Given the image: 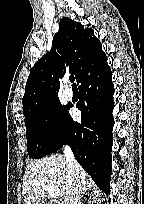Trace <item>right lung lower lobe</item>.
<instances>
[{
	"mask_svg": "<svg viewBox=\"0 0 144 204\" xmlns=\"http://www.w3.org/2000/svg\"><path fill=\"white\" fill-rule=\"evenodd\" d=\"M81 123L68 114L58 141L49 154L68 144L80 165L95 183L110 192L111 150L114 108L112 72L107 59L79 82Z\"/></svg>",
	"mask_w": 144,
	"mask_h": 204,
	"instance_id": "right-lung-lower-lobe-1",
	"label": "right lung lower lobe"
}]
</instances>
